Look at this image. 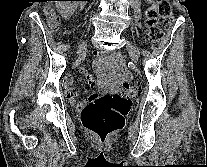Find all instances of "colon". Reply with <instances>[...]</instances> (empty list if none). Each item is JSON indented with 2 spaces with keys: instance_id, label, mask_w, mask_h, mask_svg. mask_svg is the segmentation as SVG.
<instances>
[{
  "instance_id": "5ec220e1",
  "label": "colon",
  "mask_w": 207,
  "mask_h": 167,
  "mask_svg": "<svg viewBox=\"0 0 207 167\" xmlns=\"http://www.w3.org/2000/svg\"><path fill=\"white\" fill-rule=\"evenodd\" d=\"M51 26L57 21L52 10L47 11ZM172 6L169 0H157L146 10V26L149 41L158 43L163 37V27L172 26ZM115 57L119 60L120 55ZM140 93L138 85L125 82L121 93H107L88 104L81 115L82 124L98 139L104 141L113 132L124 126L125 117L130 112L132 100Z\"/></svg>"
}]
</instances>
